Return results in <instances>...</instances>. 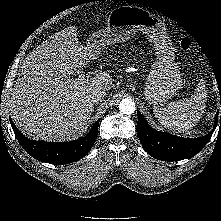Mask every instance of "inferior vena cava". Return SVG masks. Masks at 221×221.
<instances>
[{"mask_svg":"<svg viewBox=\"0 0 221 221\" xmlns=\"http://www.w3.org/2000/svg\"><path fill=\"white\" fill-rule=\"evenodd\" d=\"M105 97L106 92L100 89L94 90L90 95V99L93 103H98L99 101L104 100Z\"/></svg>","mask_w":221,"mask_h":221,"instance_id":"1","label":"inferior vena cava"}]
</instances>
